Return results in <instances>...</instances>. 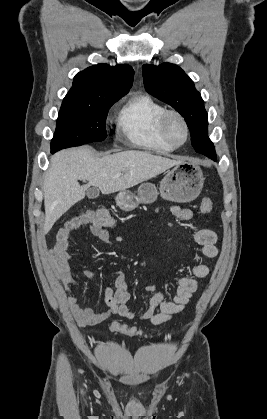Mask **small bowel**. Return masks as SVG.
Here are the masks:
<instances>
[{"label": "small bowel", "instance_id": "small-bowel-1", "mask_svg": "<svg viewBox=\"0 0 267 419\" xmlns=\"http://www.w3.org/2000/svg\"><path fill=\"white\" fill-rule=\"evenodd\" d=\"M172 213L180 220L186 221L193 218V212L190 209L180 206H173ZM82 226H89L90 232L102 241L108 242L111 240L110 232L90 212L71 218L58 230L55 245L49 250L48 256L55 277L67 290L66 303L71 313L78 325L82 327L97 325L113 315L133 319L135 315L127 305L130 294L127 289L126 274L122 270L114 272V284L105 290V303L107 305L105 310L96 311L92 308L82 307L78 303L73 293L76 280L70 264L69 238L72 232ZM193 240L199 246L200 253L204 257L215 258L217 256V235L213 230L208 228L199 229L194 233ZM209 273L210 268L207 265L202 263L193 265L190 269V275L180 276L176 279L175 295L170 301H166L163 294L154 285L148 286V289L153 291L154 294L148 306L138 318L140 320H150L155 325L167 322L175 314L184 310L193 294L198 290L199 280L206 278ZM82 274L87 279L93 280V273L90 270H82Z\"/></svg>", "mask_w": 267, "mask_h": 419}]
</instances>
